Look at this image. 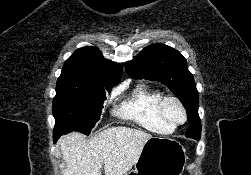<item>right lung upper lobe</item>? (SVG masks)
<instances>
[{
  "mask_svg": "<svg viewBox=\"0 0 251 175\" xmlns=\"http://www.w3.org/2000/svg\"><path fill=\"white\" fill-rule=\"evenodd\" d=\"M122 77V66L104 58L96 47L76 50L64 63L57 82L112 88Z\"/></svg>",
  "mask_w": 251,
  "mask_h": 175,
  "instance_id": "cb5924a9",
  "label": "right lung upper lobe"
}]
</instances>
